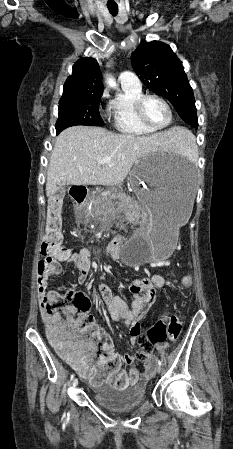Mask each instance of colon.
Masks as SVG:
<instances>
[{"mask_svg": "<svg viewBox=\"0 0 233 449\" xmlns=\"http://www.w3.org/2000/svg\"><path fill=\"white\" fill-rule=\"evenodd\" d=\"M64 198L57 193L48 200V211L46 228L42 238L41 252L43 258L40 260L38 268L44 269L47 264L58 258L68 255L69 250L63 247V220L62 207ZM192 276L185 275L181 279V285L185 289L192 286ZM67 304L63 305L56 296L46 298L41 303L42 316L47 323V333L51 343L58 349L69 364L74 365L76 361L71 356V348L66 345V338L73 339L77 350L83 352L109 342V338L99 332L94 325L93 319L87 314L90 307V300L84 294L69 290L64 296ZM182 331V323L177 314H172L166 321L158 320L146 334L139 335L137 339L141 350L138 358H145L151 353V348L157 344H164L166 341L174 342L179 339ZM132 358H126L125 363H131ZM117 388L124 387L120 379L114 381Z\"/></svg>", "mask_w": 233, "mask_h": 449, "instance_id": "colon-1", "label": "colon"}]
</instances>
